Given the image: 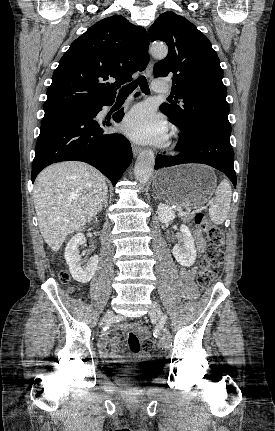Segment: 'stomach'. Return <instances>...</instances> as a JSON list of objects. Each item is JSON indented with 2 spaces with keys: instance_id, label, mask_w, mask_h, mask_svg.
I'll return each mask as SVG.
<instances>
[{
  "instance_id": "0dacf381",
  "label": "stomach",
  "mask_w": 275,
  "mask_h": 431,
  "mask_svg": "<svg viewBox=\"0 0 275 431\" xmlns=\"http://www.w3.org/2000/svg\"><path fill=\"white\" fill-rule=\"evenodd\" d=\"M214 171L205 165L188 164L159 170L153 182L157 195L177 207L197 209L213 195Z\"/></svg>"
}]
</instances>
